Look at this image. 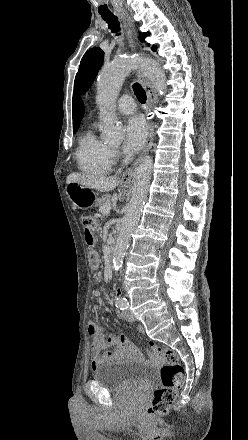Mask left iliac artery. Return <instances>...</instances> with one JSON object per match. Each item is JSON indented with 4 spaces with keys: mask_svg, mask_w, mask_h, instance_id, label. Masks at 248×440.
<instances>
[{
    "mask_svg": "<svg viewBox=\"0 0 248 440\" xmlns=\"http://www.w3.org/2000/svg\"><path fill=\"white\" fill-rule=\"evenodd\" d=\"M129 306V302L125 297H118L116 298V307H118L120 310H125Z\"/></svg>",
    "mask_w": 248,
    "mask_h": 440,
    "instance_id": "44dca946",
    "label": "left iliac artery"
}]
</instances>
